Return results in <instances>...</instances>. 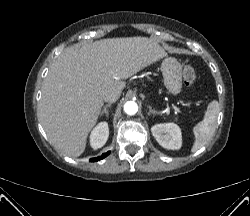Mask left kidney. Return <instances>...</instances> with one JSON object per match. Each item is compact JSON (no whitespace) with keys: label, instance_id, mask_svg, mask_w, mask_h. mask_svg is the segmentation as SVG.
Wrapping results in <instances>:
<instances>
[{"label":"left kidney","instance_id":"obj_1","mask_svg":"<svg viewBox=\"0 0 250 216\" xmlns=\"http://www.w3.org/2000/svg\"><path fill=\"white\" fill-rule=\"evenodd\" d=\"M152 135L157 142L169 150H178L182 145V136L179 126L174 123L157 124L151 128Z\"/></svg>","mask_w":250,"mask_h":216}]
</instances>
